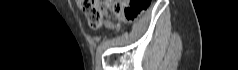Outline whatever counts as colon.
<instances>
[{
    "label": "colon",
    "instance_id": "1",
    "mask_svg": "<svg viewBox=\"0 0 238 70\" xmlns=\"http://www.w3.org/2000/svg\"><path fill=\"white\" fill-rule=\"evenodd\" d=\"M147 0H77V6L85 15L92 28H100L104 23L105 15L131 22L145 10Z\"/></svg>",
    "mask_w": 238,
    "mask_h": 70
}]
</instances>
